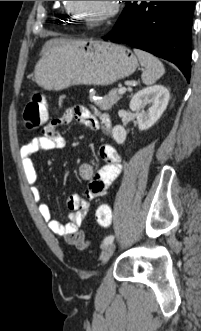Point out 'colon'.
I'll list each match as a JSON object with an SVG mask.
<instances>
[{
  "label": "colon",
  "instance_id": "colon-1",
  "mask_svg": "<svg viewBox=\"0 0 201 331\" xmlns=\"http://www.w3.org/2000/svg\"><path fill=\"white\" fill-rule=\"evenodd\" d=\"M23 119L26 126L36 129L43 126L48 119L46 104L39 94L34 95L26 104ZM96 221L102 227H109L112 222V209L107 204H100L96 210ZM89 245L85 238L77 240L75 246L84 249Z\"/></svg>",
  "mask_w": 201,
  "mask_h": 331
}]
</instances>
